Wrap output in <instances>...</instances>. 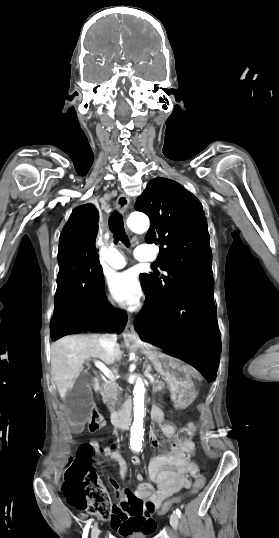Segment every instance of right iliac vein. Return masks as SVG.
Here are the masks:
<instances>
[{
  "instance_id": "1",
  "label": "right iliac vein",
  "mask_w": 279,
  "mask_h": 538,
  "mask_svg": "<svg viewBox=\"0 0 279 538\" xmlns=\"http://www.w3.org/2000/svg\"><path fill=\"white\" fill-rule=\"evenodd\" d=\"M98 535H99L98 525L95 524V525L92 527V530H91V538H98Z\"/></svg>"
}]
</instances>
